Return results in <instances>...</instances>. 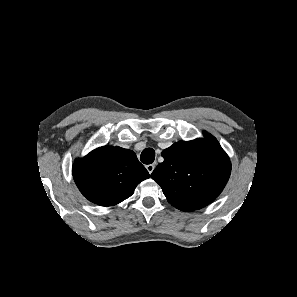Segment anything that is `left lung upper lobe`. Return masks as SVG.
<instances>
[{
  "mask_svg": "<svg viewBox=\"0 0 297 297\" xmlns=\"http://www.w3.org/2000/svg\"><path fill=\"white\" fill-rule=\"evenodd\" d=\"M205 140L180 141L162 152L151 177L172 206L190 212L210 204L229 180L228 155L211 134Z\"/></svg>",
  "mask_w": 297,
  "mask_h": 297,
  "instance_id": "obj_1",
  "label": "left lung upper lobe"
}]
</instances>
